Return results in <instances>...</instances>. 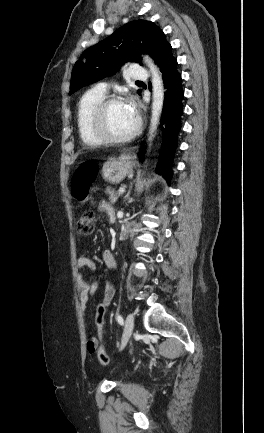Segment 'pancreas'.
I'll return each mask as SVG.
<instances>
[{"mask_svg":"<svg viewBox=\"0 0 264 433\" xmlns=\"http://www.w3.org/2000/svg\"><path fill=\"white\" fill-rule=\"evenodd\" d=\"M106 193L109 195V199L111 203H115L121 194L114 189H110L109 187L106 189Z\"/></svg>","mask_w":264,"mask_h":433,"instance_id":"obj_1","label":"pancreas"}]
</instances>
